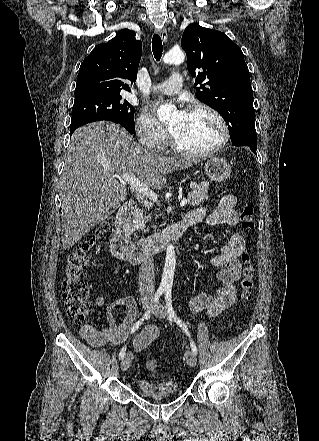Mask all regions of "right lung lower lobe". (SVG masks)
<instances>
[{
    "instance_id": "98d812e1",
    "label": "right lung lower lobe",
    "mask_w": 319,
    "mask_h": 441,
    "mask_svg": "<svg viewBox=\"0 0 319 441\" xmlns=\"http://www.w3.org/2000/svg\"><path fill=\"white\" fill-rule=\"evenodd\" d=\"M100 120H108V121H113V120H110V119H99V120H94V121H100ZM94 121H91V122H94ZM113 122H115V121H113ZM87 123H90V122H86V123H81V124H78V125H75V126H71V128H70V134H72L77 128H79L80 126H82V125H84V124H87ZM117 123V122H116Z\"/></svg>"
}]
</instances>
